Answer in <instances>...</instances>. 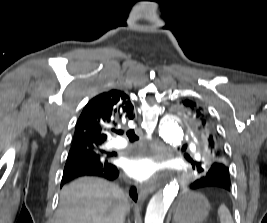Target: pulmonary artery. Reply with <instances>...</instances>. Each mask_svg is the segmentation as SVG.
I'll list each match as a JSON object with an SVG mask.
<instances>
[{"mask_svg":"<svg viewBox=\"0 0 267 223\" xmlns=\"http://www.w3.org/2000/svg\"><path fill=\"white\" fill-rule=\"evenodd\" d=\"M128 145L125 139H117L113 142V147L117 149H123Z\"/></svg>","mask_w":267,"mask_h":223,"instance_id":"pulmonary-artery-1","label":"pulmonary artery"}]
</instances>
